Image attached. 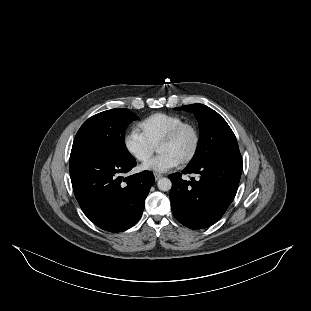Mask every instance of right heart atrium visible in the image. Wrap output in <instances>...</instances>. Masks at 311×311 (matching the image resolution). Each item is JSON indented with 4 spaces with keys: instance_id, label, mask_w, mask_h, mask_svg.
<instances>
[{
    "instance_id": "1",
    "label": "right heart atrium",
    "mask_w": 311,
    "mask_h": 311,
    "mask_svg": "<svg viewBox=\"0 0 311 311\" xmlns=\"http://www.w3.org/2000/svg\"><path fill=\"white\" fill-rule=\"evenodd\" d=\"M123 146L127 154L138 163L147 162L155 151V148L136 128L126 131L123 136Z\"/></svg>"
}]
</instances>
